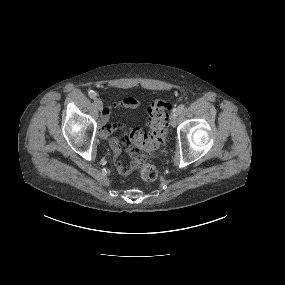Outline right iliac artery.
<instances>
[{"label": "right iliac artery", "instance_id": "1", "mask_svg": "<svg viewBox=\"0 0 285 285\" xmlns=\"http://www.w3.org/2000/svg\"><path fill=\"white\" fill-rule=\"evenodd\" d=\"M97 96L96 92L95 91H89V97L92 98V99H95Z\"/></svg>", "mask_w": 285, "mask_h": 285}]
</instances>
